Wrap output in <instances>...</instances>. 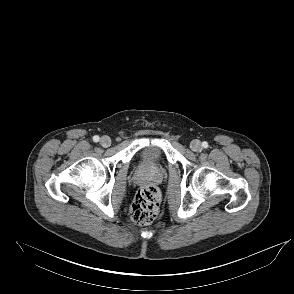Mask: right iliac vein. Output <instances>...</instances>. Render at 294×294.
<instances>
[{
  "label": "right iliac vein",
  "mask_w": 294,
  "mask_h": 294,
  "mask_svg": "<svg viewBox=\"0 0 294 294\" xmlns=\"http://www.w3.org/2000/svg\"><path fill=\"white\" fill-rule=\"evenodd\" d=\"M100 144L103 146V147H109L111 145V139L110 137L108 136H102L101 139H100Z\"/></svg>",
  "instance_id": "63e3f726"
}]
</instances>
